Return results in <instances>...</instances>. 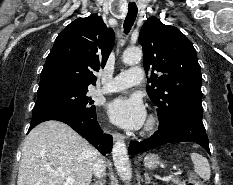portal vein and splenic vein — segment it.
Returning <instances> with one entry per match:
<instances>
[{
	"mask_svg": "<svg viewBox=\"0 0 233 185\" xmlns=\"http://www.w3.org/2000/svg\"><path fill=\"white\" fill-rule=\"evenodd\" d=\"M162 180H163V181H170V180H172V176L163 177ZM72 182H74L73 177H68V178L66 179V183H65L64 185H68L69 183H72Z\"/></svg>",
	"mask_w": 233,
	"mask_h": 185,
	"instance_id": "1",
	"label": "portal vein and splenic vein"
}]
</instances>
